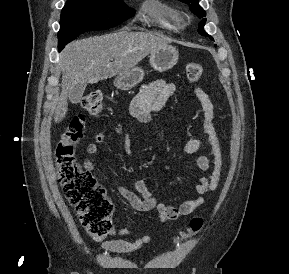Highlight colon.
I'll list each match as a JSON object with an SVG mask.
<instances>
[{"label": "colon", "instance_id": "colon-1", "mask_svg": "<svg viewBox=\"0 0 289 274\" xmlns=\"http://www.w3.org/2000/svg\"><path fill=\"white\" fill-rule=\"evenodd\" d=\"M203 73L200 63L186 66V76L196 82ZM82 107L90 114L97 115L103 110V97L99 92H91L81 101ZM86 132L85 119L76 115L61 135L55 148V162L59 183L69 203L74 207L82 226L96 240L103 239L112 231L111 218L113 203L108 199L105 188L96 178L82 168L76 159V147ZM202 217L191 219L189 227L181 239L197 234L203 227Z\"/></svg>", "mask_w": 289, "mask_h": 274}]
</instances>
